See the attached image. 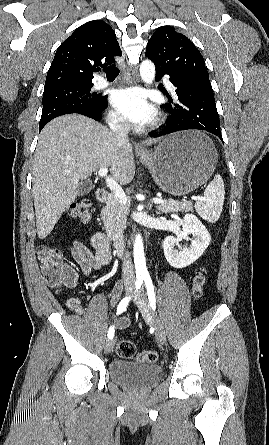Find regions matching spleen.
<instances>
[{
    "mask_svg": "<svg viewBox=\"0 0 269 445\" xmlns=\"http://www.w3.org/2000/svg\"><path fill=\"white\" fill-rule=\"evenodd\" d=\"M225 189L219 174L208 184L204 191V198L195 203L196 212L210 223L218 221L224 204Z\"/></svg>",
    "mask_w": 269,
    "mask_h": 445,
    "instance_id": "3e777b00",
    "label": "spleen"
}]
</instances>
